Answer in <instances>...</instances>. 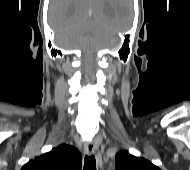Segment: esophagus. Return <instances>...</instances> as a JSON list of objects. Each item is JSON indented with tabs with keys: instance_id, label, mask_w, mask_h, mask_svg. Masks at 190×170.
Instances as JSON below:
<instances>
[{
	"instance_id": "1",
	"label": "esophagus",
	"mask_w": 190,
	"mask_h": 170,
	"mask_svg": "<svg viewBox=\"0 0 190 170\" xmlns=\"http://www.w3.org/2000/svg\"><path fill=\"white\" fill-rule=\"evenodd\" d=\"M85 152L91 156V155H95L97 163L99 165V167H102V157L101 154L98 151L97 145L94 141H88L85 146H84Z\"/></svg>"
}]
</instances>
